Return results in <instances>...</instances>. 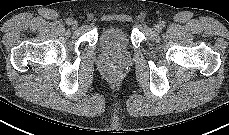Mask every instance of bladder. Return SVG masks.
<instances>
[{"instance_id":"1","label":"bladder","mask_w":229,"mask_h":135,"mask_svg":"<svg viewBox=\"0 0 229 135\" xmlns=\"http://www.w3.org/2000/svg\"><path fill=\"white\" fill-rule=\"evenodd\" d=\"M127 41L126 31L118 26H110L104 29L101 33V42L104 48L108 50L124 44Z\"/></svg>"}]
</instances>
